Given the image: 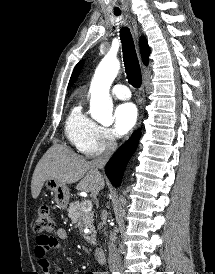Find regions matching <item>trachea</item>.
Returning <instances> with one entry per match:
<instances>
[{
    "instance_id": "1",
    "label": "trachea",
    "mask_w": 215,
    "mask_h": 274,
    "mask_svg": "<svg viewBox=\"0 0 215 274\" xmlns=\"http://www.w3.org/2000/svg\"><path fill=\"white\" fill-rule=\"evenodd\" d=\"M116 15L118 16L120 13H116ZM120 38L127 79L133 87L139 88L142 84V75L130 30L125 27L122 28Z\"/></svg>"
}]
</instances>
